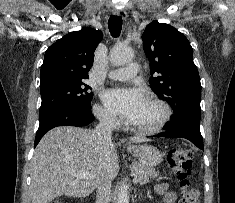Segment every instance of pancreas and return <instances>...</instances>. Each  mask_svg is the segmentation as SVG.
Returning a JSON list of instances; mask_svg holds the SVG:
<instances>
[{
	"label": "pancreas",
	"mask_w": 235,
	"mask_h": 203,
	"mask_svg": "<svg viewBox=\"0 0 235 203\" xmlns=\"http://www.w3.org/2000/svg\"><path fill=\"white\" fill-rule=\"evenodd\" d=\"M131 171L134 173V175L138 178V182L143 185L149 182V179L158 177V172L155 171V169L143 166L138 163H134L131 166Z\"/></svg>",
	"instance_id": "cf45deb5"
}]
</instances>
